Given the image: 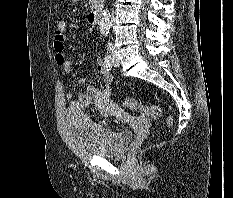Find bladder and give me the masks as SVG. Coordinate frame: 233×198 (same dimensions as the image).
I'll use <instances>...</instances> for the list:
<instances>
[{"mask_svg": "<svg viewBox=\"0 0 233 198\" xmlns=\"http://www.w3.org/2000/svg\"><path fill=\"white\" fill-rule=\"evenodd\" d=\"M65 124L70 145L85 155L119 157L132 140L130 131L103 126L81 112H68Z\"/></svg>", "mask_w": 233, "mask_h": 198, "instance_id": "31cf9c89", "label": "bladder"}]
</instances>
